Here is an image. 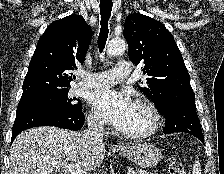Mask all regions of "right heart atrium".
I'll list each match as a JSON object with an SVG mask.
<instances>
[{"label":"right heart atrium","instance_id":"obj_1","mask_svg":"<svg viewBox=\"0 0 224 174\" xmlns=\"http://www.w3.org/2000/svg\"><path fill=\"white\" fill-rule=\"evenodd\" d=\"M88 122L94 129H102L104 127V121L100 115L96 112H91L88 117Z\"/></svg>","mask_w":224,"mask_h":174}]
</instances>
